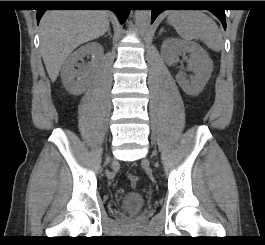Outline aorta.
Masks as SVG:
<instances>
[{"mask_svg": "<svg viewBox=\"0 0 265 245\" xmlns=\"http://www.w3.org/2000/svg\"><path fill=\"white\" fill-rule=\"evenodd\" d=\"M135 19L140 30H146L151 22V10H136Z\"/></svg>", "mask_w": 265, "mask_h": 245, "instance_id": "762f6f07", "label": "aorta"}]
</instances>
